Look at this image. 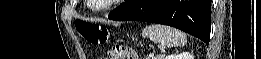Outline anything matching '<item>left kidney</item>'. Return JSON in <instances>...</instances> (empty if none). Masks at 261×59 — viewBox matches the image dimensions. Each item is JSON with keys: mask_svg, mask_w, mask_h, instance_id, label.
I'll return each instance as SVG.
<instances>
[{"mask_svg": "<svg viewBox=\"0 0 261 59\" xmlns=\"http://www.w3.org/2000/svg\"><path fill=\"white\" fill-rule=\"evenodd\" d=\"M165 59H193V55L189 52H183L181 54H171L165 57Z\"/></svg>", "mask_w": 261, "mask_h": 59, "instance_id": "left-kidney-1", "label": "left kidney"}]
</instances>
